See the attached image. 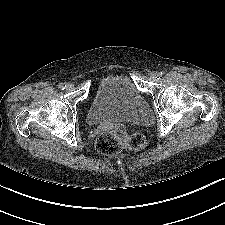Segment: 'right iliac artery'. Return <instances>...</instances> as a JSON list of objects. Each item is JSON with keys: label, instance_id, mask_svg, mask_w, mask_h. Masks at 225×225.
I'll list each match as a JSON object with an SVG mask.
<instances>
[{"label": "right iliac artery", "instance_id": "82829eb1", "mask_svg": "<svg viewBox=\"0 0 225 225\" xmlns=\"http://www.w3.org/2000/svg\"><path fill=\"white\" fill-rule=\"evenodd\" d=\"M58 87H59V89L64 90L65 87H66V85H65L64 83H60V84L58 85Z\"/></svg>", "mask_w": 225, "mask_h": 225}]
</instances>
